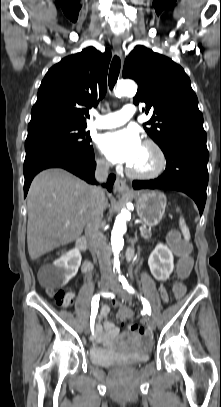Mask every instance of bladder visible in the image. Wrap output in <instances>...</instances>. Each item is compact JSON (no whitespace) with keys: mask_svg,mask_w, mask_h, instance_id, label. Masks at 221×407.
<instances>
[{"mask_svg":"<svg viewBox=\"0 0 221 407\" xmlns=\"http://www.w3.org/2000/svg\"><path fill=\"white\" fill-rule=\"evenodd\" d=\"M147 355L142 352L123 354L109 347L93 346L89 350V360L93 365L111 367L117 364L135 365L146 361Z\"/></svg>","mask_w":221,"mask_h":407,"instance_id":"bladder-1","label":"bladder"}]
</instances>
